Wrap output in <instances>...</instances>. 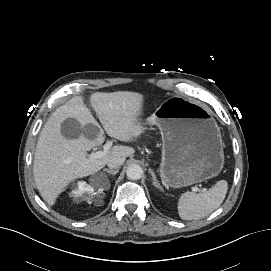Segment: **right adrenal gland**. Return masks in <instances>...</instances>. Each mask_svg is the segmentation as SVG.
<instances>
[{
	"label": "right adrenal gland",
	"instance_id": "2a0ac1e0",
	"mask_svg": "<svg viewBox=\"0 0 271 271\" xmlns=\"http://www.w3.org/2000/svg\"><path fill=\"white\" fill-rule=\"evenodd\" d=\"M103 171H106L109 174L115 175L118 173L119 169H116V170L104 169Z\"/></svg>",
	"mask_w": 271,
	"mask_h": 271
}]
</instances>
